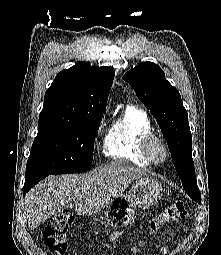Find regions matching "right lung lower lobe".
Here are the masks:
<instances>
[{"instance_id": "1", "label": "right lung lower lobe", "mask_w": 221, "mask_h": 255, "mask_svg": "<svg viewBox=\"0 0 221 255\" xmlns=\"http://www.w3.org/2000/svg\"><path fill=\"white\" fill-rule=\"evenodd\" d=\"M48 175L45 174H32L26 175L25 184L23 188V195H25L34 185Z\"/></svg>"}]
</instances>
